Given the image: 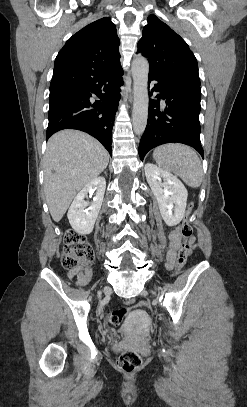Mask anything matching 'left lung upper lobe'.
<instances>
[{"instance_id": "1", "label": "left lung upper lobe", "mask_w": 247, "mask_h": 407, "mask_svg": "<svg viewBox=\"0 0 247 407\" xmlns=\"http://www.w3.org/2000/svg\"><path fill=\"white\" fill-rule=\"evenodd\" d=\"M137 53L149 61V74L200 85L197 60L186 42L155 15L147 18Z\"/></svg>"}]
</instances>
